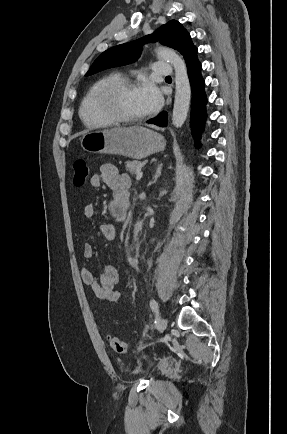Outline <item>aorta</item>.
Wrapping results in <instances>:
<instances>
[{"label":"aorta","mask_w":287,"mask_h":434,"mask_svg":"<svg viewBox=\"0 0 287 434\" xmlns=\"http://www.w3.org/2000/svg\"><path fill=\"white\" fill-rule=\"evenodd\" d=\"M157 55L171 63L175 70V99L172 122L176 128H180L186 120L191 97L186 63L174 50L169 48H158Z\"/></svg>","instance_id":"762f6f07"}]
</instances>
